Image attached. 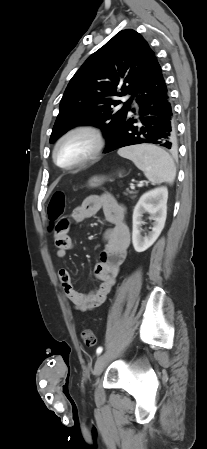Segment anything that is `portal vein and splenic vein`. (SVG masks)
Returning a JSON list of instances; mask_svg holds the SVG:
<instances>
[{"label":"portal vein and splenic vein","mask_w":207,"mask_h":449,"mask_svg":"<svg viewBox=\"0 0 207 449\" xmlns=\"http://www.w3.org/2000/svg\"><path fill=\"white\" fill-rule=\"evenodd\" d=\"M141 186H143V183H142V182H140V183L138 184V187H141Z\"/></svg>","instance_id":"1"}]
</instances>
